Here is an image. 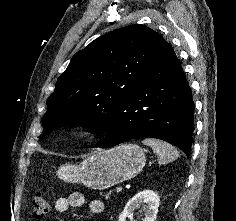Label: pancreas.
Instances as JSON below:
<instances>
[{
    "label": "pancreas",
    "instance_id": "pancreas-1",
    "mask_svg": "<svg viewBox=\"0 0 236 221\" xmlns=\"http://www.w3.org/2000/svg\"><path fill=\"white\" fill-rule=\"evenodd\" d=\"M110 196H111V192H110V191L107 192V193L104 195V197H105L106 200H109V199H110Z\"/></svg>",
    "mask_w": 236,
    "mask_h": 221
}]
</instances>
